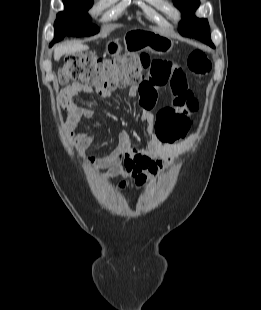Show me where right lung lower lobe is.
Masks as SVG:
<instances>
[{
	"instance_id": "98d812e1",
	"label": "right lung lower lobe",
	"mask_w": 261,
	"mask_h": 310,
	"mask_svg": "<svg viewBox=\"0 0 261 310\" xmlns=\"http://www.w3.org/2000/svg\"><path fill=\"white\" fill-rule=\"evenodd\" d=\"M57 41H60V40L54 39L53 42L50 44V46H51L54 42H57Z\"/></svg>"
}]
</instances>
